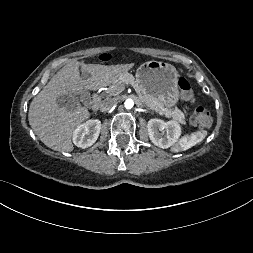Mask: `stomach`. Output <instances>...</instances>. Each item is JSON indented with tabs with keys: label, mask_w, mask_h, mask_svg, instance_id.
<instances>
[{
	"label": "stomach",
	"mask_w": 253,
	"mask_h": 253,
	"mask_svg": "<svg viewBox=\"0 0 253 253\" xmlns=\"http://www.w3.org/2000/svg\"><path fill=\"white\" fill-rule=\"evenodd\" d=\"M136 83L149 96L160 100L165 106L177 104L180 92L178 89V71L168 63L148 61L136 70Z\"/></svg>",
	"instance_id": "stomach-1"
}]
</instances>
